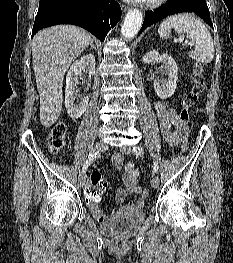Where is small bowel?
<instances>
[{"label":"small bowel","instance_id":"small-bowel-1","mask_svg":"<svg viewBox=\"0 0 233 263\" xmlns=\"http://www.w3.org/2000/svg\"><path fill=\"white\" fill-rule=\"evenodd\" d=\"M154 109L159 121L160 130L165 140L173 146L183 143L184 135L182 131V123L177 111L169 102L164 100L156 101ZM112 161L117 169L122 170V180L124 182V187L117 189L116 201L119 204H123L127 196L134 195L135 197L127 202L123 208L140 209L144 203L140 199L143 190L137 183L139 171L135 168L133 163H127L124 165V156L121 154H114ZM129 165L132 166V170L129 169ZM90 204L91 203L88 202V206ZM91 205L92 206H89V208L98 221L104 222L109 219L99 207L98 202H93Z\"/></svg>","mask_w":233,"mask_h":263}]
</instances>
